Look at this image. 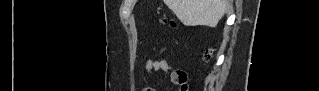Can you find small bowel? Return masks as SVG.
<instances>
[{
	"mask_svg": "<svg viewBox=\"0 0 319 91\" xmlns=\"http://www.w3.org/2000/svg\"><path fill=\"white\" fill-rule=\"evenodd\" d=\"M170 64L166 60H159V61H153V60H147L144 64V70L145 72H151V71H159L164 72L168 71L170 69ZM181 72H174L172 74V81L174 83H178L179 75Z\"/></svg>",
	"mask_w": 319,
	"mask_h": 91,
	"instance_id": "obj_1",
	"label": "small bowel"
}]
</instances>
